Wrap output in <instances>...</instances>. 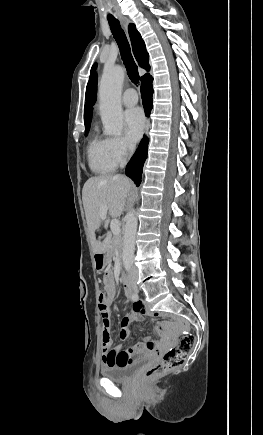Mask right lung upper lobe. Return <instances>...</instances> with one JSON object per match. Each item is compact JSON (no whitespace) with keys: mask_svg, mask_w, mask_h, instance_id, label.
<instances>
[{"mask_svg":"<svg viewBox=\"0 0 263 435\" xmlns=\"http://www.w3.org/2000/svg\"><path fill=\"white\" fill-rule=\"evenodd\" d=\"M129 35L131 38L133 53H134L136 60L138 61V64L142 68L149 70V68H150V66H149V54L146 51L145 43H144L143 39L141 38L140 33L136 30V27L134 24L129 25ZM147 75H148V73L145 74L144 76H142L141 80ZM87 96H88V92L86 91V98H87ZM96 96H97V76H95V78H94V82H93L92 89L90 92V97L88 98V100L85 104V107H84L85 131H89V128H90V122H91L92 111H93L92 106L94 105V103L96 101Z\"/></svg>","mask_w":263,"mask_h":435,"instance_id":"obj_1","label":"right lung upper lobe"}]
</instances>
